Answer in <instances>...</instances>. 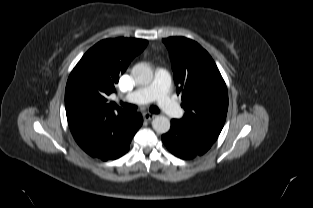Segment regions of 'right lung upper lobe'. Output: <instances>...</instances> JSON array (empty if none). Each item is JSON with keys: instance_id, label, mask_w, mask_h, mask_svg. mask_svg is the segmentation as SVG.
I'll return each instance as SVG.
<instances>
[{"instance_id": "cb5924a9", "label": "right lung upper lobe", "mask_w": 313, "mask_h": 208, "mask_svg": "<svg viewBox=\"0 0 313 208\" xmlns=\"http://www.w3.org/2000/svg\"><path fill=\"white\" fill-rule=\"evenodd\" d=\"M148 41L136 38L105 39L90 48L71 72L65 90L67 119L80 116L126 114L107 96L132 59Z\"/></svg>"}]
</instances>
